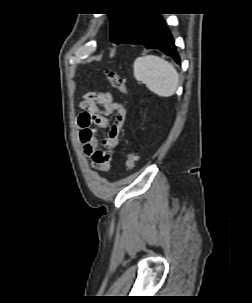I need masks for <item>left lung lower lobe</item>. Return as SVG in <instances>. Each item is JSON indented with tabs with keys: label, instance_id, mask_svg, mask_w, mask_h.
Instances as JSON below:
<instances>
[{
	"label": "left lung lower lobe",
	"instance_id": "obj_1",
	"mask_svg": "<svg viewBox=\"0 0 252 303\" xmlns=\"http://www.w3.org/2000/svg\"><path fill=\"white\" fill-rule=\"evenodd\" d=\"M120 43L141 44L148 49H159L180 64V57L172 36L158 14H146L132 31L117 44Z\"/></svg>",
	"mask_w": 252,
	"mask_h": 303
}]
</instances>
